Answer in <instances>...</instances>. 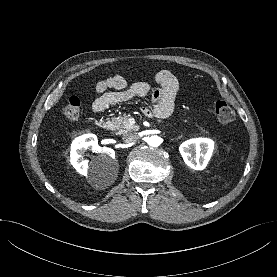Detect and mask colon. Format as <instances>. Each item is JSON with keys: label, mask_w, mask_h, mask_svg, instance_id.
Here are the masks:
<instances>
[{"label": "colon", "mask_w": 277, "mask_h": 277, "mask_svg": "<svg viewBox=\"0 0 277 277\" xmlns=\"http://www.w3.org/2000/svg\"><path fill=\"white\" fill-rule=\"evenodd\" d=\"M81 110V102L79 97L71 96L63 107V114L71 120L79 117ZM214 113L216 119L221 124H229L235 118L233 109L225 101H217L214 105Z\"/></svg>", "instance_id": "colon-1"}]
</instances>
